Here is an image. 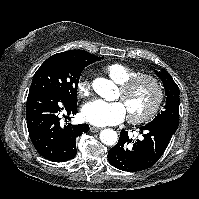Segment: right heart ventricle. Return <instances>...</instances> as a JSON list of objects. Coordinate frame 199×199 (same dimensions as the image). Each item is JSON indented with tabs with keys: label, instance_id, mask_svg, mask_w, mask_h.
Listing matches in <instances>:
<instances>
[{
	"label": "right heart ventricle",
	"instance_id": "1",
	"mask_svg": "<svg viewBox=\"0 0 199 199\" xmlns=\"http://www.w3.org/2000/svg\"><path fill=\"white\" fill-rule=\"evenodd\" d=\"M104 71L118 84H122L129 78L139 74V71L127 64L114 62L106 65Z\"/></svg>",
	"mask_w": 199,
	"mask_h": 199
}]
</instances>
